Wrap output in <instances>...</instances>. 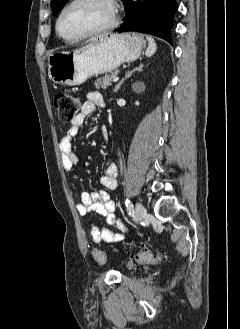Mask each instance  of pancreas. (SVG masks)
Segmentation results:
<instances>
[{
	"label": "pancreas",
	"instance_id": "pancreas-1",
	"mask_svg": "<svg viewBox=\"0 0 240 329\" xmlns=\"http://www.w3.org/2000/svg\"><path fill=\"white\" fill-rule=\"evenodd\" d=\"M118 72L117 71H114L112 72L111 74H108V75H105L103 76L102 78H99L95 81L94 85L97 89H100V88H106L107 86H109L111 83V80L113 78H115L117 76Z\"/></svg>",
	"mask_w": 240,
	"mask_h": 329
}]
</instances>
